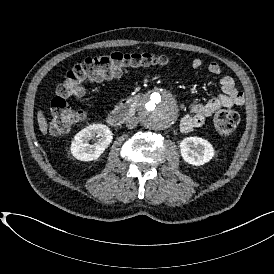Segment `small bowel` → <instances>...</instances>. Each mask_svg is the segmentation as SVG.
Segmentation results:
<instances>
[{
    "label": "small bowel",
    "mask_w": 274,
    "mask_h": 274,
    "mask_svg": "<svg viewBox=\"0 0 274 274\" xmlns=\"http://www.w3.org/2000/svg\"><path fill=\"white\" fill-rule=\"evenodd\" d=\"M202 66L203 61L200 58L192 59V69L198 70ZM207 70L213 75H220L222 73L221 66L216 62L209 63ZM220 86L222 93L217 97L191 106L190 113L180 123V128L183 132L188 133L195 128L203 126L206 120L221 108H231L244 103V93L237 88L235 80L232 77L223 76L220 80Z\"/></svg>",
    "instance_id": "1"
}]
</instances>
